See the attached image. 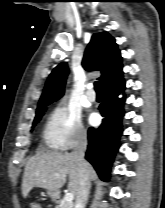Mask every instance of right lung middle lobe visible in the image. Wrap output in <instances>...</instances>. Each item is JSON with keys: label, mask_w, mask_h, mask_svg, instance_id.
Listing matches in <instances>:
<instances>
[{"label": "right lung middle lobe", "mask_w": 165, "mask_h": 208, "mask_svg": "<svg viewBox=\"0 0 165 208\" xmlns=\"http://www.w3.org/2000/svg\"><path fill=\"white\" fill-rule=\"evenodd\" d=\"M43 112H44V109L36 112V116H35V119H34V124L40 120V118L43 115Z\"/></svg>", "instance_id": "dd1d6c3e"}]
</instances>
